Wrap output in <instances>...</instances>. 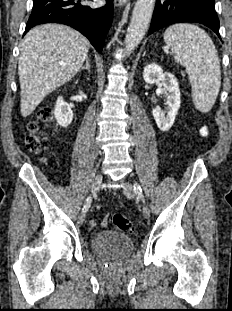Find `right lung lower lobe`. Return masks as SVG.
Listing matches in <instances>:
<instances>
[{"instance_id": "right-lung-lower-lobe-1", "label": "right lung lower lobe", "mask_w": 232, "mask_h": 311, "mask_svg": "<svg viewBox=\"0 0 232 311\" xmlns=\"http://www.w3.org/2000/svg\"><path fill=\"white\" fill-rule=\"evenodd\" d=\"M98 9H92L81 0H34L25 33L44 23H62L85 35L101 53L106 34L113 18L112 0Z\"/></svg>"}]
</instances>
